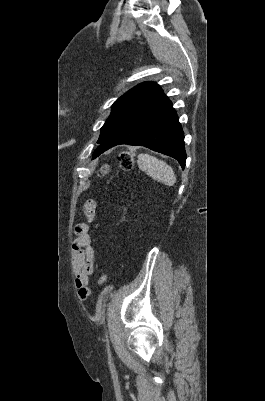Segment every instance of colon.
<instances>
[{"label":"colon","mask_w":265,"mask_h":401,"mask_svg":"<svg viewBox=\"0 0 265 401\" xmlns=\"http://www.w3.org/2000/svg\"><path fill=\"white\" fill-rule=\"evenodd\" d=\"M119 165L123 170H130L133 168L135 162V152L132 150H126L119 154L118 156ZM109 171V166L104 165L99 170V176H104ZM107 277L104 273L99 276V283L105 285Z\"/></svg>","instance_id":"obj_1"}]
</instances>
